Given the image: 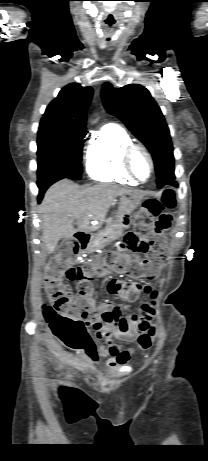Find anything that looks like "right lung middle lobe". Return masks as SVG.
Segmentation results:
<instances>
[{
	"instance_id": "1",
	"label": "right lung middle lobe",
	"mask_w": 208,
	"mask_h": 461,
	"mask_svg": "<svg viewBox=\"0 0 208 461\" xmlns=\"http://www.w3.org/2000/svg\"><path fill=\"white\" fill-rule=\"evenodd\" d=\"M86 133L40 123L38 129V185L54 178L81 179L83 138Z\"/></svg>"
}]
</instances>
